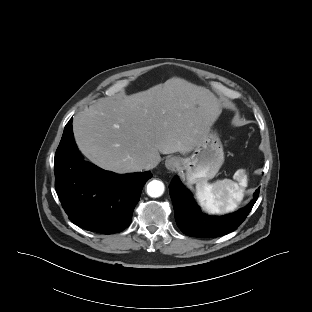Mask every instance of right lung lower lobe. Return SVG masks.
<instances>
[{
  "label": "right lung lower lobe",
  "mask_w": 312,
  "mask_h": 312,
  "mask_svg": "<svg viewBox=\"0 0 312 312\" xmlns=\"http://www.w3.org/2000/svg\"><path fill=\"white\" fill-rule=\"evenodd\" d=\"M55 189L69 219L83 229L102 234L129 226L134 207L150 171L119 175L83 160L66 124L54 160Z\"/></svg>",
  "instance_id": "1"
}]
</instances>
